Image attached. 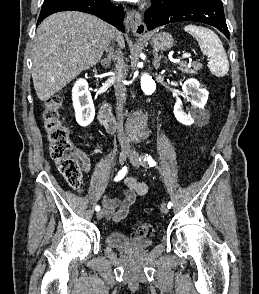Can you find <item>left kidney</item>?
<instances>
[{
  "instance_id": "1",
  "label": "left kidney",
  "mask_w": 259,
  "mask_h": 294,
  "mask_svg": "<svg viewBox=\"0 0 259 294\" xmlns=\"http://www.w3.org/2000/svg\"><path fill=\"white\" fill-rule=\"evenodd\" d=\"M186 96L190 95L191 108L188 113L184 112L181 101H177L174 106L176 119L184 125L199 123L206 117L204 106L208 99V91L200 87L199 81L194 78L186 80L182 86Z\"/></svg>"
}]
</instances>
